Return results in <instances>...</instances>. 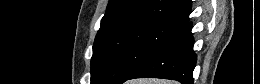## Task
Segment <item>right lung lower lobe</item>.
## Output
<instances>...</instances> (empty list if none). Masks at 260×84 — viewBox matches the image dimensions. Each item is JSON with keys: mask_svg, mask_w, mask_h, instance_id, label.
I'll return each instance as SVG.
<instances>
[{"mask_svg": "<svg viewBox=\"0 0 260 84\" xmlns=\"http://www.w3.org/2000/svg\"><path fill=\"white\" fill-rule=\"evenodd\" d=\"M192 23L188 21L177 28L170 38L128 79L165 78L183 84H193L192 73L196 65L191 34Z\"/></svg>", "mask_w": 260, "mask_h": 84, "instance_id": "right-lung-lower-lobe-1", "label": "right lung lower lobe"}]
</instances>
